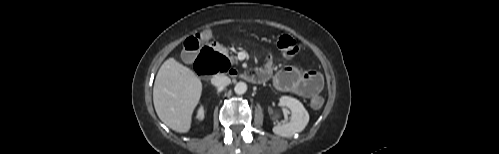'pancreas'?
<instances>
[{"instance_id":"pancreas-1","label":"pancreas","mask_w":499,"mask_h":154,"mask_svg":"<svg viewBox=\"0 0 499 154\" xmlns=\"http://www.w3.org/2000/svg\"><path fill=\"white\" fill-rule=\"evenodd\" d=\"M222 51H223V53H224V54H226V55L228 54V50H227V49L223 48V49H222ZM229 58H230V60H231V61H233V62H234V60L236 59V57H234V56H230Z\"/></svg>"}]
</instances>
